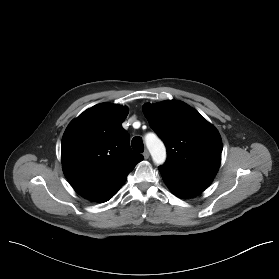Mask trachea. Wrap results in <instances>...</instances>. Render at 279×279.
<instances>
[{
	"label": "trachea",
	"mask_w": 279,
	"mask_h": 279,
	"mask_svg": "<svg viewBox=\"0 0 279 279\" xmlns=\"http://www.w3.org/2000/svg\"><path fill=\"white\" fill-rule=\"evenodd\" d=\"M131 145L132 148L139 153H142L144 151L143 142L140 137H134L132 139Z\"/></svg>",
	"instance_id": "3493384b"
}]
</instances>
